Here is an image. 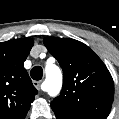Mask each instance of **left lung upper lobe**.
I'll return each instance as SVG.
<instances>
[{"mask_svg": "<svg viewBox=\"0 0 119 119\" xmlns=\"http://www.w3.org/2000/svg\"><path fill=\"white\" fill-rule=\"evenodd\" d=\"M44 44L63 70V88L51 102L57 114L106 119L114 98V84L102 60L74 39L44 38Z\"/></svg>", "mask_w": 119, "mask_h": 119, "instance_id": "left-lung-upper-lobe-1", "label": "left lung upper lobe"}]
</instances>
